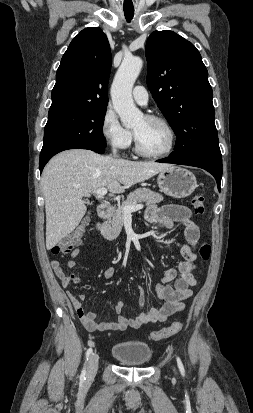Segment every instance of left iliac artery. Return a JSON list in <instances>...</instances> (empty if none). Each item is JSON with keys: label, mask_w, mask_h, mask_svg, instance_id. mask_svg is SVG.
<instances>
[{"label": "left iliac artery", "mask_w": 253, "mask_h": 413, "mask_svg": "<svg viewBox=\"0 0 253 413\" xmlns=\"http://www.w3.org/2000/svg\"><path fill=\"white\" fill-rule=\"evenodd\" d=\"M177 364H178V367H179V370H180L182 376H184L185 375V369H184L183 363H182V361L179 357H177Z\"/></svg>", "instance_id": "obj_1"}]
</instances>
